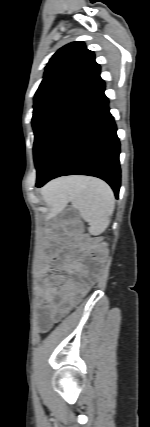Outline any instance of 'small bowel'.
I'll list each match as a JSON object with an SVG mask.
<instances>
[{"instance_id": "small-bowel-1", "label": "small bowel", "mask_w": 150, "mask_h": 427, "mask_svg": "<svg viewBox=\"0 0 150 427\" xmlns=\"http://www.w3.org/2000/svg\"><path fill=\"white\" fill-rule=\"evenodd\" d=\"M56 259V258H54ZM62 268H69L68 264H61ZM51 262L41 264L39 271L42 275L39 289V300L44 305L40 314L39 324L42 330H47L57 318L68 312L77 301L78 295L85 289L84 285H75L67 283L61 291H58L57 285L60 279L57 276L49 274ZM57 297L61 298L59 303L55 302Z\"/></svg>"}]
</instances>
